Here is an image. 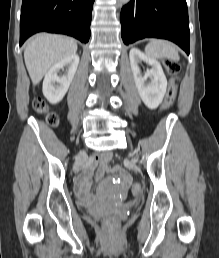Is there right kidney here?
Wrapping results in <instances>:
<instances>
[{
    "label": "right kidney",
    "mask_w": 219,
    "mask_h": 258,
    "mask_svg": "<svg viewBox=\"0 0 219 258\" xmlns=\"http://www.w3.org/2000/svg\"><path fill=\"white\" fill-rule=\"evenodd\" d=\"M78 64L79 56L74 54L49 69L43 81V94L50 103L56 104L63 99L74 78ZM64 69H66V73L59 76L60 70Z\"/></svg>",
    "instance_id": "ca27d5eb"
}]
</instances>
